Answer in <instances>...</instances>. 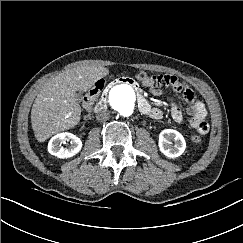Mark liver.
Listing matches in <instances>:
<instances>
[{
  "label": "liver",
  "instance_id": "6515ba94",
  "mask_svg": "<svg viewBox=\"0 0 243 243\" xmlns=\"http://www.w3.org/2000/svg\"><path fill=\"white\" fill-rule=\"evenodd\" d=\"M107 74L109 70L103 66H77L46 81L31 110L37 141L44 142L60 131L75 127L81 118L76 91L86 92Z\"/></svg>",
  "mask_w": 243,
  "mask_h": 243
}]
</instances>
